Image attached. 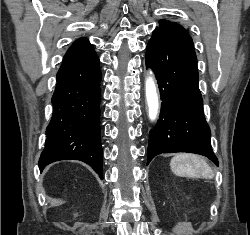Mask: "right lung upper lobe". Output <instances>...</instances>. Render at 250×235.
Here are the masks:
<instances>
[{"label":"right lung upper lobe","mask_w":250,"mask_h":235,"mask_svg":"<svg viewBox=\"0 0 250 235\" xmlns=\"http://www.w3.org/2000/svg\"><path fill=\"white\" fill-rule=\"evenodd\" d=\"M85 40H87V39L86 38H80L75 43L80 42V41H85Z\"/></svg>","instance_id":"1"}]
</instances>
